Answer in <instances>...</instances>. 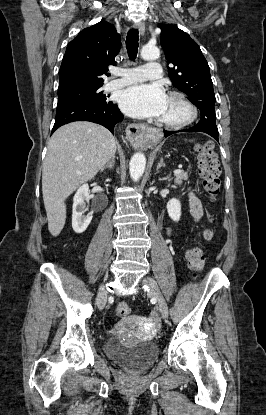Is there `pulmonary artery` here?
Segmentation results:
<instances>
[{
	"label": "pulmonary artery",
	"mask_w": 266,
	"mask_h": 415,
	"mask_svg": "<svg viewBox=\"0 0 266 415\" xmlns=\"http://www.w3.org/2000/svg\"><path fill=\"white\" fill-rule=\"evenodd\" d=\"M114 74L120 76V78L110 81L107 84L108 90H116L146 79H159L161 77V65L157 62H149L140 67L119 69Z\"/></svg>",
	"instance_id": "pulmonary-artery-1"
}]
</instances>
